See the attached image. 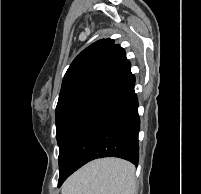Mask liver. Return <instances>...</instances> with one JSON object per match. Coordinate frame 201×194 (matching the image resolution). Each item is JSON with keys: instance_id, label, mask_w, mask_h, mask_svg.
<instances>
[{"instance_id": "obj_1", "label": "liver", "mask_w": 201, "mask_h": 194, "mask_svg": "<svg viewBox=\"0 0 201 194\" xmlns=\"http://www.w3.org/2000/svg\"><path fill=\"white\" fill-rule=\"evenodd\" d=\"M62 194H136L135 166L118 158L91 161L63 184Z\"/></svg>"}]
</instances>
